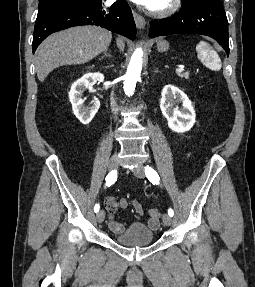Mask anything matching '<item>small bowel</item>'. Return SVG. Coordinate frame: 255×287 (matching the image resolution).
<instances>
[{
    "label": "small bowel",
    "mask_w": 255,
    "mask_h": 287,
    "mask_svg": "<svg viewBox=\"0 0 255 287\" xmlns=\"http://www.w3.org/2000/svg\"><path fill=\"white\" fill-rule=\"evenodd\" d=\"M105 205L109 216L108 226L110 230L116 234L121 233L124 230V226L115 220L114 214L118 208L126 209L129 205L128 201L125 198L118 200L116 198L109 197L106 199ZM132 206L138 214H144V209L138 201H133ZM148 226L156 230L159 227V219L150 217L148 220Z\"/></svg>",
    "instance_id": "1"
}]
</instances>
